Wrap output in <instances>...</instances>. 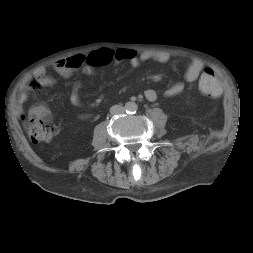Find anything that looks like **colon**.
<instances>
[{
  "label": "colon",
  "mask_w": 253,
  "mask_h": 253,
  "mask_svg": "<svg viewBox=\"0 0 253 253\" xmlns=\"http://www.w3.org/2000/svg\"><path fill=\"white\" fill-rule=\"evenodd\" d=\"M42 84L41 77L36 76L26 87L35 92L41 89ZM198 85L200 91L208 96L218 97L222 94V87L211 69H206L202 73ZM27 127L30 139L36 144L50 140L58 132L57 126L46 125L32 117L27 119Z\"/></svg>",
  "instance_id": "obj_1"
}]
</instances>
